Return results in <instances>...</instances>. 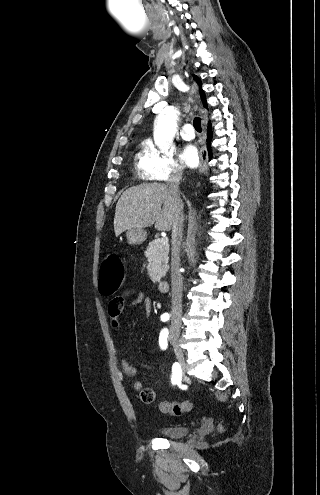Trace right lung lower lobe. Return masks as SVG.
Here are the masks:
<instances>
[{
    "label": "right lung lower lobe",
    "instance_id": "right-lung-lower-lobe-1",
    "mask_svg": "<svg viewBox=\"0 0 320 495\" xmlns=\"http://www.w3.org/2000/svg\"><path fill=\"white\" fill-rule=\"evenodd\" d=\"M211 139H212V129H211V124L209 123L208 132H207V150L209 154V160H211L212 157Z\"/></svg>",
    "mask_w": 320,
    "mask_h": 495
}]
</instances>
